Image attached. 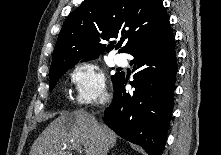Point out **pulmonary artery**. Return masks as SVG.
<instances>
[{
    "label": "pulmonary artery",
    "instance_id": "e3ab8cb5",
    "mask_svg": "<svg viewBox=\"0 0 221 155\" xmlns=\"http://www.w3.org/2000/svg\"><path fill=\"white\" fill-rule=\"evenodd\" d=\"M114 61L118 66H125L127 64V59L123 54H117L114 57Z\"/></svg>",
    "mask_w": 221,
    "mask_h": 155
}]
</instances>
